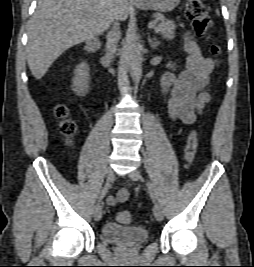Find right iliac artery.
<instances>
[{
    "label": "right iliac artery",
    "instance_id": "82829eb1",
    "mask_svg": "<svg viewBox=\"0 0 254 267\" xmlns=\"http://www.w3.org/2000/svg\"><path fill=\"white\" fill-rule=\"evenodd\" d=\"M111 186V180L108 179L107 182L105 183L104 187L102 188L100 195L98 197V201L101 202L102 199L105 197L106 193L108 192L109 188Z\"/></svg>",
    "mask_w": 254,
    "mask_h": 267
}]
</instances>
